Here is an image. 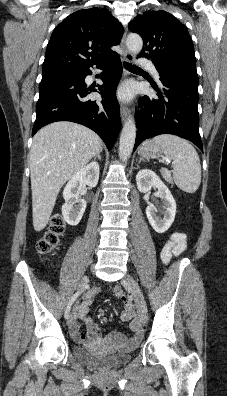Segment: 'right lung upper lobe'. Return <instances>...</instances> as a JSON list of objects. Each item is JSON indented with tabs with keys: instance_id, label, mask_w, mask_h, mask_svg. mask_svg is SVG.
<instances>
[{
	"instance_id": "cb5924a9",
	"label": "right lung upper lobe",
	"mask_w": 227,
	"mask_h": 396,
	"mask_svg": "<svg viewBox=\"0 0 227 396\" xmlns=\"http://www.w3.org/2000/svg\"><path fill=\"white\" fill-rule=\"evenodd\" d=\"M124 29L110 11H76L53 31L42 71L78 70L113 57L110 48L120 43Z\"/></svg>"
}]
</instances>
